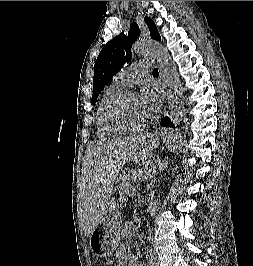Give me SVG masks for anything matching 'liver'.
<instances>
[{"instance_id":"obj_1","label":"liver","mask_w":253,"mask_h":266,"mask_svg":"<svg viewBox=\"0 0 253 266\" xmlns=\"http://www.w3.org/2000/svg\"><path fill=\"white\" fill-rule=\"evenodd\" d=\"M144 137H126L90 146L83 160L82 225L86 237L102 222L114 183L123 166L134 158Z\"/></svg>"}]
</instances>
